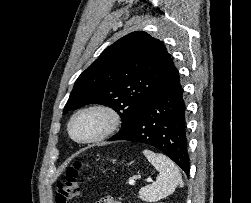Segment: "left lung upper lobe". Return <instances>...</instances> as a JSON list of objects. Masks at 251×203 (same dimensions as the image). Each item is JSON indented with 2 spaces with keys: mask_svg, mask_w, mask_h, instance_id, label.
Wrapping results in <instances>:
<instances>
[{
  "mask_svg": "<svg viewBox=\"0 0 251 203\" xmlns=\"http://www.w3.org/2000/svg\"><path fill=\"white\" fill-rule=\"evenodd\" d=\"M172 62L164 43L143 31L107 47L78 77L63 114L90 103L113 108L121 133L134 121Z\"/></svg>",
  "mask_w": 251,
  "mask_h": 203,
  "instance_id": "1",
  "label": "left lung upper lobe"
}]
</instances>
